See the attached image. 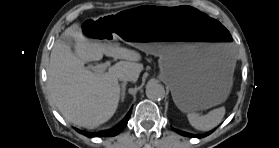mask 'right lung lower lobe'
I'll return each mask as SVG.
<instances>
[{
  "label": "right lung lower lobe",
  "instance_id": "1",
  "mask_svg": "<svg viewBox=\"0 0 279 148\" xmlns=\"http://www.w3.org/2000/svg\"><path fill=\"white\" fill-rule=\"evenodd\" d=\"M131 112L124 118V120L115 128L108 130V131H101V132H87V131H82L79 129H76L78 132L81 134L87 136V137H103V136H115L119 134L127 125V122L130 118Z\"/></svg>",
  "mask_w": 279,
  "mask_h": 148
}]
</instances>
